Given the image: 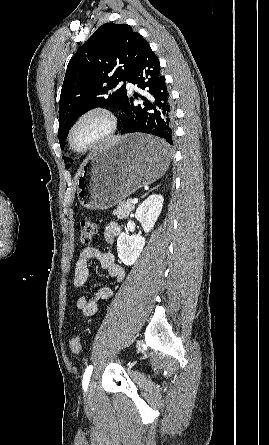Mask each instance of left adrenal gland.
<instances>
[{"instance_id":"1","label":"left adrenal gland","mask_w":269,"mask_h":445,"mask_svg":"<svg viewBox=\"0 0 269 445\" xmlns=\"http://www.w3.org/2000/svg\"><path fill=\"white\" fill-rule=\"evenodd\" d=\"M156 188H158V187H155V188L151 189L149 192L153 191V190L156 189Z\"/></svg>"}]
</instances>
